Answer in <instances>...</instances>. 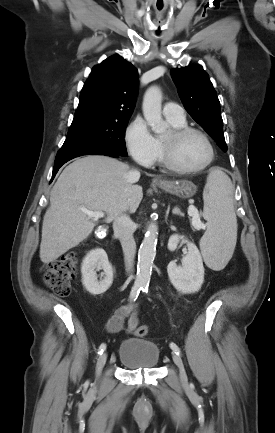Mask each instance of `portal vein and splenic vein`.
<instances>
[{"instance_id": "obj_1", "label": "portal vein and splenic vein", "mask_w": 275, "mask_h": 433, "mask_svg": "<svg viewBox=\"0 0 275 433\" xmlns=\"http://www.w3.org/2000/svg\"><path fill=\"white\" fill-rule=\"evenodd\" d=\"M82 211L85 214H87L88 217L94 218L96 220L99 219V218H103L104 217V212H101V211L94 212V211H90V210H87V209H82ZM188 215L190 217H192V226L195 229H202V228H204V225H203V223L200 220L199 212H198V210L195 207L190 206L188 208Z\"/></svg>"}]
</instances>
